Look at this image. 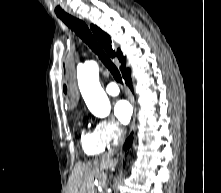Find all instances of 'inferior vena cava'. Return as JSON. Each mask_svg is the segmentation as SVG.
Listing matches in <instances>:
<instances>
[{
    "label": "inferior vena cava",
    "instance_id": "inferior-vena-cava-1",
    "mask_svg": "<svg viewBox=\"0 0 221 193\" xmlns=\"http://www.w3.org/2000/svg\"><path fill=\"white\" fill-rule=\"evenodd\" d=\"M125 131L122 128H119L117 142H114V146H117L119 143L123 141Z\"/></svg>",
    "mask_w": 221,
    "mask_h": 193
}]
</instances>
